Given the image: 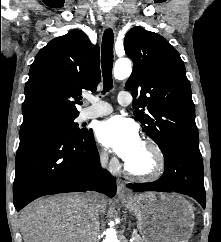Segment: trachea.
Returning <instances> with one entry per match:
<instances>
[{"label":"trachea","instance_id":"trachea-1","mask_svg":"<svg viewBox=\"0 0 221 242\" xmlns=\"http://www.w3.org/2000/svg\"><path fill=\"white\" fill-rule=\"evenodd\" d=\"M113 43L114 34L112 29H106L102 39V75L104 88L102 94H105L113 88L112 68H113Z\"/></svg>","mask_w":221,"mask_h":242}]
</instances>
